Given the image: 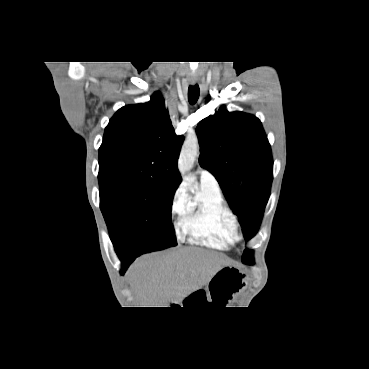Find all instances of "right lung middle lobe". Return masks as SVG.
Instances as JSON below:
<instances>
[{"mask_svg":"<svg viewBox=\"0 0 369 369\" xmlns=\"http://www.w3.org/2000/svg\"><path fill=\"white\" fill-rule=\"evenodd\" d=\"M100 208L117 254L140 256L177 245L171 223L174 188L136 173L99 171Z\"/></svg>","mask_w":369,"mask_h":369,"instance_id":"obj_1","label":"right lung middle lobe"}]
</instances>
